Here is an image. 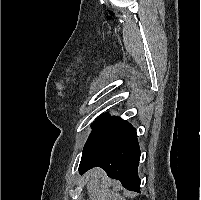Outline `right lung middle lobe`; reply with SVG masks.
I'll return each instance as SVG.
<instances>
[{
    "instance_id": "dd1d6c3e",
    "label": "right lung middle lobe",
    "mask_w": 201,
    "mask_h": 200,
    "mask_svg": "<svg viewBox=\"0 0 201 200\" xmlns=\"http://www.w3.org/2000/svg\"><path fill=\"white\" fill-rule=\"evenodd\" d=\"M109 115L108 114H102L101 116H99L96 121L92 124L93 126L97 125L98 123H100L101 121L105 120L106 118H108Z\"/></svg>"
}]
</instances>
